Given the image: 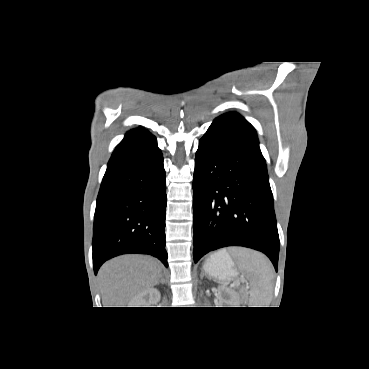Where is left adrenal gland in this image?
Segmentation results:
<instances>
[{"label":"left adrenal gland","instance_id":"a2214340","mask_svg":"<svg viewBox=\"0 0 369 369\" xmlns=\"http://www.w3.org/2000/svg\"><path fill=\"white\" fill-rule=\"evenodd\" d=\"M204 276H207L206 273H204L203 271L201 272V278H203Z\"/></svg>","mask_w":369,"mask_h":369}]
</instances>
